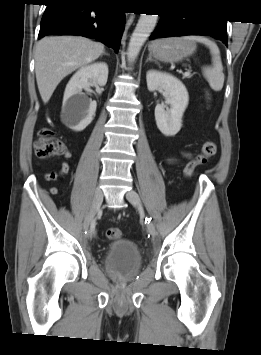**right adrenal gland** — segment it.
Wrapping results in <instances>:
<instances>
[{"label":"right adrenal gland","mask_w":261,"mask_h":355,"mask_svg":"<svg viewBox=\"0 0 261 355\" xmlns=\"http://www.w3.org/2000/svg\"><path fill=\"white\" fill-rule=\"evenodd\" d=\"M103 55H107V56H109V54H108V53H106L105 51L103 52Z\"/></svg>","instance_id":"obj_1"}]
</instances>
